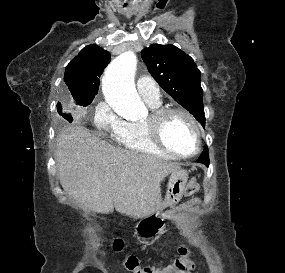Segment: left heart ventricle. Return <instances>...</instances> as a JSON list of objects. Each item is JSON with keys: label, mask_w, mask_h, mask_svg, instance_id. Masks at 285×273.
I'll list each match as a JSON object with an SVG mask.
<instances>
[{"label": "left heart ventricle", "mask_w": 285, "mask_h": 273, "mask_svg": "<svg viewBox=\"0 0 285 273\" xmlns=\"http://www.w3.org/2000/svg\"><path fill=\"white\" fill-rule=\"evenodd\" d=\"M165 144L179 154H191L196 147L195 129L191 122L180 114L168 116L162 127Z\"/></svg>", "instance_id": "left-heart-ventricle-1"}]
</instances>
